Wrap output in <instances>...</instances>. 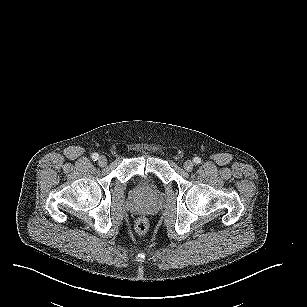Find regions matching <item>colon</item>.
<instances>
[{"label": "colon", "instance_id": "1", "mask_svg": "<svg viewBox=\"0 0 307 307\" xmlns=\"http://www.w3.org/2000/svg\"><path fill=\"white\" fill-rule=\"evenodd\" d=\"M136 232L140 235L147 233L149 229V221L146 217H140L135 224Z\"/></svg>", "mask_w": 307, "mask_h": 307}]
</instances>
